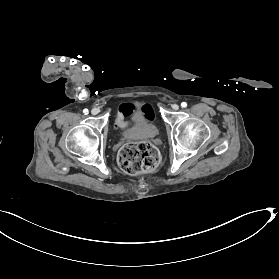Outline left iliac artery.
I'll use <instances>...</instances> for the list:
<instances>
[{"label": "left iliac artery", "instance_id": "44dca946", "mask_svg": "<svg viewBox=\"0 0 279 279\" xmlns=\"http://www.w3.org/2000/svg\"><path fill=\"white\" fill-rule=\"evenodd\" d=\"M181 106H182L183 108H185V107L187 106V103H186V102H182V103H181Z\"/></svg>", "mask_w": 279, "mask_h": 279}]
</instances>
